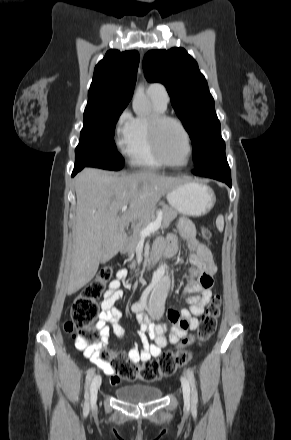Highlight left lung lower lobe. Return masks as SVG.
<instances>
[{
	"mask_svg": "<svg viewBox=\"0 0 291 440\" xmlns=\"http://www.w3.org/2000/svg\"><path fill=\"white\" fill-rule=\"evenodd\" d=\"M193 174L213 178L225 182L229 187L231 184V171L226 159L225 152L213 157L206 165L194 169Z\"/></svg>",
	"mask_w": 291,
	"mask_h": 440,
	"instance_id": "0a47b994",
	"label": "left lung lower lobe"
}]
</instances>
